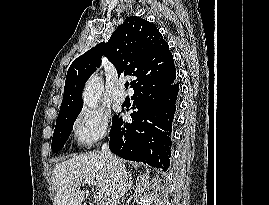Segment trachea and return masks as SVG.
<instances>
[{"instance_id": "3493384b", "label": "trachea", "mask_w": 269, "mask_h": 205, "mask_svg": "<svg viewBox=\"0 0 269 205\" xmlns=\"http://www.w3.org/2000/svg\"><path fill=\"white\" fill-rule=\"evenodd\" d=\"M128 86H129V83H128V82H126V83H125V88L127 89V88H128Z\"/></svg>"}]
</instances>
